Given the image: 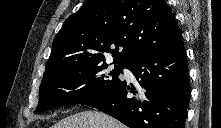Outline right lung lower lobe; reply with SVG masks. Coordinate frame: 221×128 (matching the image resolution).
<instances>
[{
	"label": "right lung lower lobe",
	"instance_id": "obj_1",
	"mask_svg": "<svg viewBox=\"0 0 221 128\" xmlns=\"http://www.w3.org/2000/svg\"><path fill=\"white\" fill-rule=\"evenodd\" d=\"M142 91L126 81L82 104L118 119L130 128H184L190 99V79L183 41L173 47L138 56L128 64ZM128 92L138 94L127 98Z\"/></svg>",
	"mask_w": 221,
	"mask_h": 128
}]
</instances>
